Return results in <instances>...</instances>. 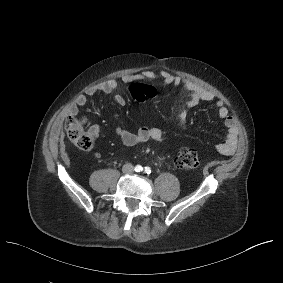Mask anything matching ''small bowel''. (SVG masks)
I'll return each mask as SVG.
<instances>
[{
    "label": "small bowel",
    "mask_w": 283,
    "mask_h": 283,
    "mask_svg": "<svg viewBox=\"0 0 283 283\" xmlns=\"http://www.w3.org/2000/svg\"><path fill=\"white\" fill-rule=\"evenodd\" d=\"M136 80L143 81H160L164 86H182L188 93L189 98L186 102L187 108H193L201 102H215L218 116L223 119L224 125L227 129L226 139L216 145V150L222 155H232L237 147L238 139V126L235 118L229 113L228 108L223 101L218 100L215 96L197 85L196 83L181 78L178 75H174L168 71H162L155 73L152 71H142L138 74H126L122 77V81L130 83ZM118 88V82L115 79H109L102 81L89 87L83 94H80L74 101L70 112L76 116L78 109L84 107L87 104L88 97L94 95L97 92L104 94H110ZM116 106H124L126 103L125 98L122 95H116L114 98ZM181 124H186V117H181ZM89 135L92 137L93 142L97 141L100 137L101 129L99 125H92L88 129ZM115 133L121 140V142L128 147L136 146L147 141H155L158 143L163 142L164 133L157 127H140L136 131H128L119 126L115 128Z\"/></svg>",
    "instance_id": "small-bowel-1"
}]
</instances>
